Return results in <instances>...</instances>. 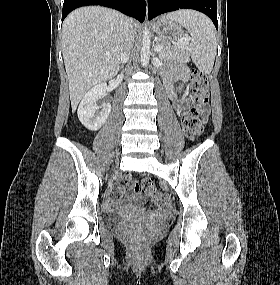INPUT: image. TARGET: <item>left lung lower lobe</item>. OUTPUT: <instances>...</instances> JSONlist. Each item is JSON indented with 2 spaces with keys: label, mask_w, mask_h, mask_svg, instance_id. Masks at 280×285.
Listing matches in <instances>:
<instances>
[{
  "label": "left lung lower lobe",
  "mask_w": 280,
  "mask_h": 285,
  "mask_svg": "<svg viewBox=\"0 0 280 285\" xmlns=\"http://www.w3.org/2000/svg\"><path fill=\"white\" fill-rule=\"evenodd\" d=\"M178 9H194L205 13L218 29L217 0H148V19Z\"/></svg>",
  "instance_id": "1"
}]
</instances>
